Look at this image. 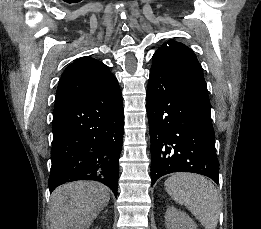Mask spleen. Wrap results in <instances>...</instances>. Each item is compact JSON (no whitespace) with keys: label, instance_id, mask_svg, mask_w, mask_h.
Masks as SVG:
<instances>
[{"label":"spleen","instance_id":"obj_1","mask_svg":"<svg viewBox=\"0 0 261 229\" xmlns=\"http://www.w3.org/2000/svg\"><path fill=\"white\" fill-rule=\"evenodd\" d=\"M164 187L171 199L185 205L204 229H216L221 201L211 181L193 173H172Z\"/></svg>","mask_w":261,"mask_h":229}]
</instances>
